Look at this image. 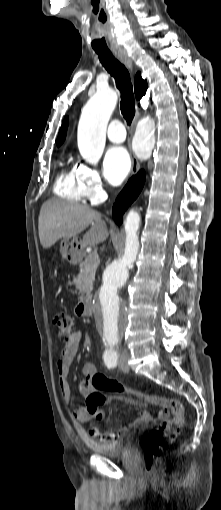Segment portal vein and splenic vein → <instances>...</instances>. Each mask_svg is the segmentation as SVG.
Instances as JSON below:
<instances>
[{"instance_id": "portal-vein-and-splenic-vein-1", "label": "portal vein and splenic vein", "mask_w": 221, "mask_h": 510, "mask_svg": "<svg viewBox=\"0 0 221 510\" xmlns=\"http://www.w3.org/2000/svg\"><path fill=\"white\" fill-rule=\"evenodd\" d=\"M90 258L93 259L94 261H99V257H98V254L97 253H90Z\"/></svg>"}]
</instances>
